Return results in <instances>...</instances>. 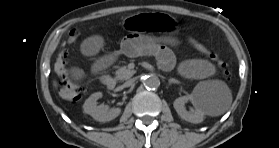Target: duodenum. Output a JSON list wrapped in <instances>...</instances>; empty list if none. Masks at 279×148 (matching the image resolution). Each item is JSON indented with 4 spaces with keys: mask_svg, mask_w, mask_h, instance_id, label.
I'll use <instances>...</instances> for the list:
<instances>
[{
    "mask_svg": "<svg viewBox=\"0 0 279 148\" xmlns=\"http://www.w3.org/2000/svg\"><path fill=\"white\" fill-rule=\"evenodd\" d=\"M106 86L109 90H113L116 86V80L114 78H108L106 80Z\"/></svg>",
    "mask_w": 279,
    "mask_h": 148,
    "instance_id": "obj_1",
    "label": "duodenum"
}]
</instances>
